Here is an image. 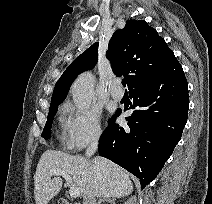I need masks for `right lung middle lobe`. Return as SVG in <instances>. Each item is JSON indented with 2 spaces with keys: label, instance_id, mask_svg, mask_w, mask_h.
Returning a JSON list of instances; mask_svg holds the SVG:
<instances>
[{
  "label": "right lung middle lobe",
  "instance_id": "1",
  "mask_svg": "<svg viewBox=\"0 0 212 204\" xmlns=\"http://www.w3.org/2000/svg\"><path fill=\"white\" fill-rule=\"evenodd\" d=\"M58 109V104L56 105H50V109H49V114H48V119H47V123L44 127V130L41 134V136L45 139H47L50 135V128H51V124H52V118L54 117L56 111Z\"/></svg>",
  "mask_w": 212,
  "mask_h": 204
}]
</instances>
